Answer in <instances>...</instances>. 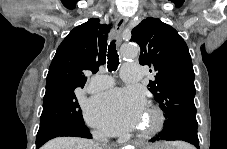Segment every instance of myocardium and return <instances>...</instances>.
Instances as JSON below:
<instances>
[{"label":"myocardium","instance_id":"1","mask_svg":"<svg viewBox=\"0 0 227 149\" xmlns=\"http://www.w3.org/2000/svg\"><path fill=\"white\" fill-rule=\"evenodd\" d=\"M165 123V116L163 111L151 106L148 110V122L141 128L143 136H152L157 134Z\"/></svg>","mask_w":227,"mask_h":149}]
</instances>
